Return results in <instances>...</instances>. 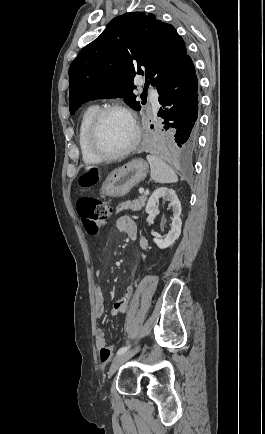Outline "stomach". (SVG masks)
Here are the masks:
<instances>
[{"mask_svg":"<svg viewBox=\"0 0 265 434\" xmlns=\"http://www.w3.org/2000/svg\"><path fill=\"white\" fill-rule=\"evenodd\" d=\"M148 164L142 158H135L122 168L114 170L102 184L101 192L109 198H120L130 192L131 188L142 182L148 174Z\"/></svg>","mask_w":265,"mask_h":434,"instance_id":"stomach-1","label":"stomach"}]
</instances>
